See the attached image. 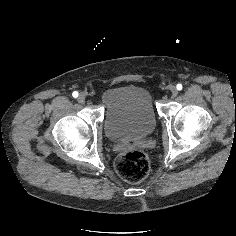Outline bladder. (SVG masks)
Wrapping results in <instances>:
<instances>
[{
  "label": "bladder",
  "mask_w": 236,
  "mask_h": 236,
  "mask_svg": "<svg viewBox=\"0 0 236 236\" xmlns=\"http://www.w3.org/2000/svg\"><path fill=\"white\" fill-rule=\"evenodd\" d=\"M103 128L113 142L149 136L156 128L158 115L152 93L144 86H116L104 95Z\"/></svg>",
  "instance_id": "bladder-1"
}]
</instances>
